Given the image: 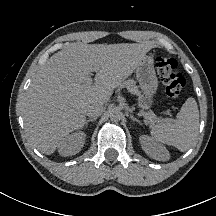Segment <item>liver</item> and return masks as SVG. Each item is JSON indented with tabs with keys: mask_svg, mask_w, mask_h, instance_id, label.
<instances>
[{
	"mask_svg": "<svg viewBox=\"0 0 216 216\" xmlns=\"http://www.w3.org/2000/svg\"><path fill=\"white\" fill-rule=\"evenodd\" d=\"M153 48L142 43H71L37 72L23 102L26 132L34 146L51 155L69 132L84 127L86 107L109 101ZM95 82L84 86L93 70Z\"/></svg>",
	"mask_w": 216,
	"mask_h": 216,
	"instance_id": "obj_1",
	"label": "liver"
}]
</instances>
